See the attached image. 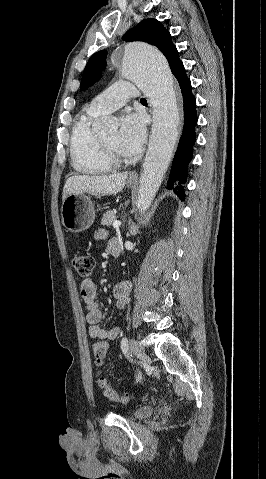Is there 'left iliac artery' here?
<instances>
[{"label":"left iliac artery","instance_id":"1","mask_svg":"<svg viewBox=\"0 0 266 479\" xmlns=\"http://www.w3.org/2000/svg\"><path fill=\"white\" fill-rule=\"evenodd\" d=\"M121 349H122V352H123L125 355H127V356L129 355V353H128V340H127L126 337L122 338V340H121ZM133 365H134V366H136V365L138 366L139 364H138V363H137V364L134 363ZM135 369H136V370L139 369V370H138V376H139L138 378L141 379L142 376H143V370H142L140 367H139V368L136 367ZM139 379H138V380H139Z\"/></svg>","mask_w":266,"mask_h":479}]
</instances>
